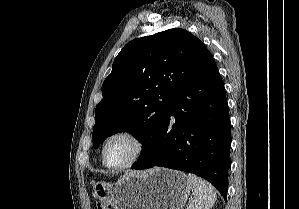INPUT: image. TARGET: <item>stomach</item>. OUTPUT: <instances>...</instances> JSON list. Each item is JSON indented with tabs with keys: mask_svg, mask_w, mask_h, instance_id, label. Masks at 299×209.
<instances>
[{
	"mask_svg": "<svg viewBox=\"0 0 299 209\" xmlns=\"http://www.w3.org/2000/svg\"><path fill=\"white\" fill-rule=\"evenodd\" d=\"M102 209H182L191 185L185 173L167 168L129 172L116 183L92 182Z\"/></svg>",
	"mask_w": 299,
	"mask_h": 209,
	"instance_id": "0dacf381",
	"label": "stomach"
}]
</instances>
